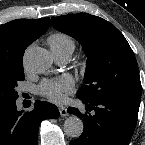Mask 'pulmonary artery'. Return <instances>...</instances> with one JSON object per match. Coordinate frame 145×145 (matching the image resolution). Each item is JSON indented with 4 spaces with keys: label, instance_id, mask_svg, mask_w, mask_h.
Listing matches in <instances>:
<instances>
[{
    "label": "pulmonary artery",
    "instance_id": "e3ab8cb5",
    "mask_svg": "<svg viewBox=\"0 0 145 145\" xmlns=\"http://www.w3.org/2000/svg\"><path fill=\"white\" fill-rule=\"evenodd\" d=\"M54 56L59 63L64 64L69 61L71 57V53H68V52L57 53V54H54Z\"/></svg>",
    "mask_w": 145,
    "mask_h": 145
}]
</instances>
